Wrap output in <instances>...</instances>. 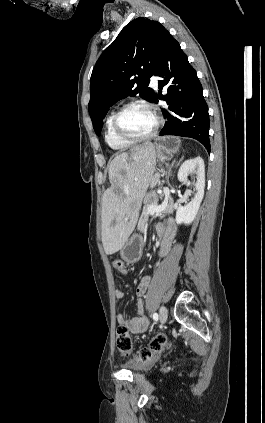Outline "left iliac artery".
Here are the masks:
<instances>
[{
    "label": "left iliac artery",
    "mask_w": 265,
    "mask_h": 423,
    "mask_svg": "<svg viewBox=\"0 0 265 423\" xmlns=\"http://www.w3.org/2000/svg\"><path fill=\"white\" fill-rule=\"evenodd\" d=\"M153 320H154V321H157V320H158V314H157V313H154V314H153Z\"/></svg>",
    "instance_id": "left-iliac-artery-1"
}]
</instances>
